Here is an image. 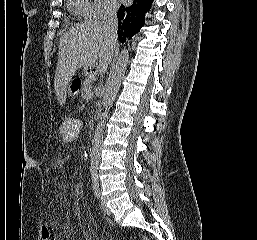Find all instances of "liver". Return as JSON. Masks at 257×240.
<instances>
[{
    "label": "liver",
    "mask_w": 257,
    "mask_h": 240,
    "mask_svg": "<svg viewBox=\"0 0 257 240\" xmlns=\"http://www.w3.org/2000/svg\"><path fill=\"white\" fill-rule=\"evenodd\" d=\"M117 51L118 43L106 34L98 21L76 25L62 35L54 78L58 102L65 104L67 87L79 68L96 67L98 73L104 74Z\"/></svg>",
    "instance_id": "liver-1"
}]
</instances>
